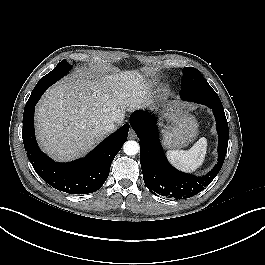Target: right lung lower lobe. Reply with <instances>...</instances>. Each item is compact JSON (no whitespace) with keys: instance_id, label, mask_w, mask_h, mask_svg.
<instances>
[{"instance_id":"obj_1","label":"right lung lower lobe","mask_w":265,"mask_h":265,"mask_svg":"<svg viewBox=\"0 0 265 265\" xmlns=\"http://www.w3.org/2000/svg\"><path fill=\"white\" fill-rule=\"evenodd\" d=\"M48 87L37 84L24 109L23 142L27 156L36 173L53 188L69 194L95 192L104 184L113 159L126 142L129 124L112 133L84 158L54 162L40 150L34 132V107Z\"/></svg>"}]
</instances>
